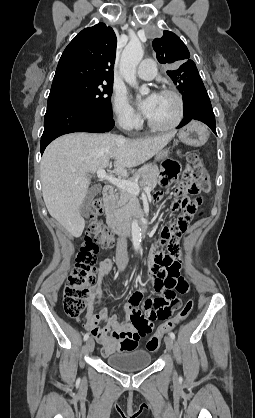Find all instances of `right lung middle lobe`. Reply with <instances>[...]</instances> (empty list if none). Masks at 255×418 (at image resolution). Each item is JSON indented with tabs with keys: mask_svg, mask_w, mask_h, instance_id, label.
Masks as SVG:
<instances>
[{
	"mask_svg": "<svg viewBox=\"0 0 255 418\" xmlns=\"http://www.w3.org/2000/svg\"><path fill=\"white\" fill-rule=\"evenodd\" d=\"M112 83L69 81L52 85L48 104L72 103L92 110L94 113L112 119Z\"/></svg>",
	"mask_w": 255,
	"mask_h": 418,
	"instance_id": "obj_1",
	"label": "right lung middle lobe"
}]
</instances>
